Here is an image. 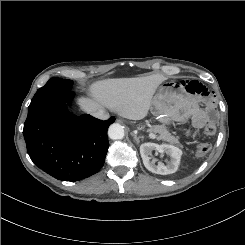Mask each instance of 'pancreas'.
Listing matches in <instances>:
<instances>
[{
    "label": "pancreas",
    "mask_w": 245,
    "mask_h": 245,
    "mask_svg": "<svg viewBox=\"0 0 245 245\" xmlns=\"http://www.w3.org/2000/svg\"><path fill=\"white\" fill-rule=\"evenodd\" d=\"M152 133H158V139L169 142L170 144H175L177 146H182L178 141V138L173 136L164 125L153 126L150 130Z\"/></svg>",
    "instance_id": "1"
}]
</instances>
